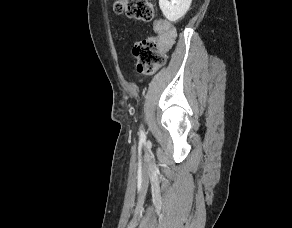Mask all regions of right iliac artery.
Returning <instances> with one entry per match:
<instances>
[{
  "mask_svg": "<svg viewBox=\"0 0 292 228\" xmlns=\"http://www.w3.org/2000/svg\"><path fill=\"white\" fill-rule=\"evenodd\" d=\"M140 132H141V134H143V130H141Z\"/></svg>",
  "mask_w": 292,
  "mask_h": 228,
  "instance_id": "obj_1",
  "label": "right iliac artery"
}]
</instances>
